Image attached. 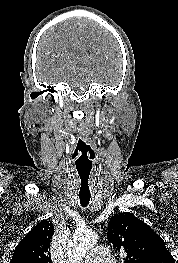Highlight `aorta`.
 <instances>
[{
  "label": "aorta",
  "instance_id": "762f6f07",
  "mask_svg": "<svg viewBox=\"0 0 178 263\" xmlns=\"http://www.w3.org/2000/svg\"><path fill=\"white\" fill-rule=\"evenodd\" d=\"M98 241V235L88 229H79L74 232L68 242V256L71 263H81L86 253Z\"/></svg>",
  "mask_w": 178,
  "mask_h": 263
}]
</instances>
